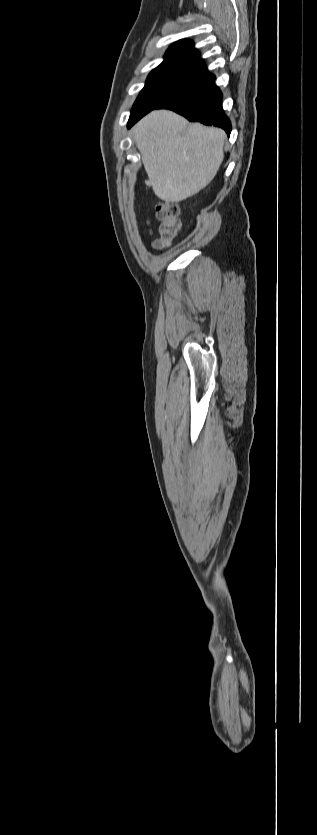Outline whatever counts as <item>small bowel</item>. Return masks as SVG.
<instances>
[{"label": "small bowel", "mask_w": 317, "mask_h": 835, "mask_svg": "<svg viewBox=\"0 0 317 835\" xmlns=\"http://www.w3.org/2000/svg\"><path fill=\"white\" fill-rule=\"evenodd\" d=\"M153 245H154V247H156V248H160V246H161V241H160V240H155V241L153 242Z\"/></svg>", "instance_id": "small-bowel-1"}]
</instances>
